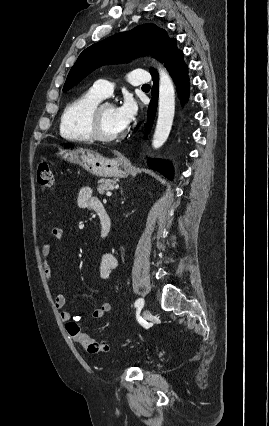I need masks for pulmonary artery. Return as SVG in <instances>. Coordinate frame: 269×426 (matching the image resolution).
Here are the masks:
<instances>
[{"label":"pulmonary artery","mask_w":269,"mask_h":426,"mask_svg":"<svg viewBox=\"0 0 269 426\" xmlns=\"http://www.w3.org/2000/svg\"><path fill=\"white\" fill-rule=\"evenodd\" d=\"M149 80V73L145 69H134L129 73V82L132 85H145ZM92 91L101 98H106L112 92V84L108 80H98L94 83Z\"/></svg>","instance_id":"obj_1"}]
</instances>
